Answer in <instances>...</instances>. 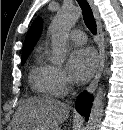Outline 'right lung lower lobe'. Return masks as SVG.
<instances>
[{"mask_svg":"<svg viewBox=\"0 0 123 130\" xmlns=\"http://www.w3.org/2000/svg\"><path fill=\"white\" fill-rule=\"evenodd\" d=\"M92 100H93V98L89 94H87V92L84 91L78 96L76 103H75V107H76L77 111L81 115H85L86 120H88V118H89Z\"/></svg>","mask_w":123,"mask_h":130,"instance_id":"1","label":"right lung lower lobe"}]
</instances>
